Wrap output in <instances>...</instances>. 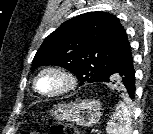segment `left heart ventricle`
<instances>
[{"mask_svg": "<svg viewBox=\"0 0 153 134\" xmlns=\"http://www.w3.org/2000/svg\"><path fill=\"white\" fill-rule=\"evenodd\" d=\"M63 84L62 79L55 74H45L38 81V88L42 92H53Z\"/></svg>", "mask_w": 153, "mask_h": 134, "instance_id": "left-heart-ventricle-1", "label": "left heart ventricle"}]
</instances>
